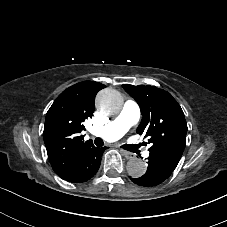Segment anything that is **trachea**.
<instances>
[{"mask_svg": "<svg viewBox=\"0 0 227 227\" xmlns=\"http://www.w3.org/2000/svg\"><path fill=\"white\" fill-rule=\"evenodd\" d=\"M94 143H95L96 146L101 147V146H103L104 141L101 138L97 137L94 140ZM121 147L124 148V149H128V146L126 144L122 145Z\"/></svg>", "mask_w": 227, "mask_h": 227, "instance_id": "3493384b", "label": "trachea"}]
</instances>
